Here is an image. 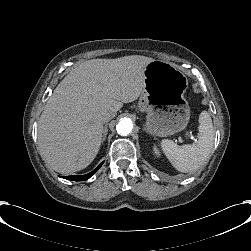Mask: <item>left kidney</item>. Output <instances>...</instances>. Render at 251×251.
<instances>
[{
	"label": "left kidney",
	"mask_w": 251,
	"mask_h": 251,
	"mask_svg": "<svg viewBox=\"0 0 251 251\" xmlns=\"http://www.w3.org/2000/svg\"><path fill=\"white\" fill-rule=\"evenodd\" d=\"M153 151H154V154L157 156V157H160V151L159 149L156 147V146H153Z\"/></svg>",
	"instance_id": "left-kidney-1"
}]
</instances>
